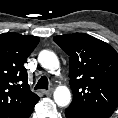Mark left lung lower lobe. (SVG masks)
<instances>
[{"mask_svg":"<svg viewBox=\"0 0 118 118\" xmlns=\"http://www.w3.org/2000/svg\"><path fill=\"white\" fill-rule=\"evenodd\" d=\"M65 115L67 118H109V115L81 112L70 107L65 110Z\"/></svg>","mask_w":118,"mask_h":118,"instance_id":"1","label":"left lung lower lobe"}]
</instances>
